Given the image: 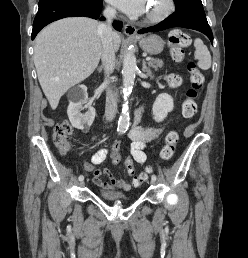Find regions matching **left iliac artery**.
Segmentation results:
<instances>
[{
    "label": "left iliac artery",
    "mask_w": 248,
    "mask_h": 258,
    "mask_svg": "<svg viewBox=\"0 0 248 258\" xmlns=\"http://www.w3.org/2000/svg\"><path fill=\"white\" fill-rule=\"evenodd\" d=\"M151 179L156 181V179H157L156 175L153 174V175L151 176Z\"/></svg>",
    "instance_id": "44dca946"
}]
</instances>
